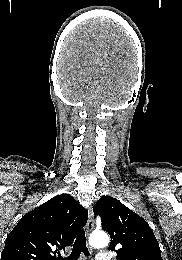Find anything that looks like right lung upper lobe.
<instances>
[{"label": "right lung upper lobe", "mask_w": 182, "mask_h": 260, "mask_svg": "<svg viewBox=\"0 0 182 260\" xmlns=\"http://www.w3.org/2000/svg\"><path fill=\"white\" fill-rule=\"evenodd\" d=\"M88 212L68 194L55 196L26 213L8 234L1 260H58L73 243Z\"/></svg>", "instance_id": "right-lung-upper-lobe-1"}]
</instances>
